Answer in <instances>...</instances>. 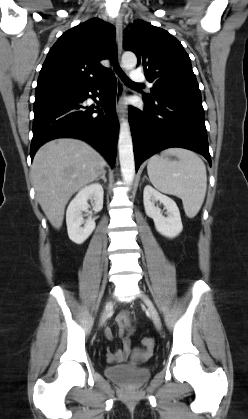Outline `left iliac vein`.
<instances>
[{
	"instance_id": "obj_1",
	"label": "left iliac vein",
	"mask_w": 248,
	"mask_h": 419,
	"mask_svg": "<svg viewBox=\"0 0 248 419\" xmlns=\"http://www.w3.org/2000/svg\"><path fill=\"white\" fill-rule=\"evenodd\" d=\"M140 297L142 298V300L146 304L147 309L150 313V316H151L156 328L158 330H161V320H160L158 312H157L155 306L153 305L152 301L145 294H141Z\"/></svg>"
}]
</instances>
